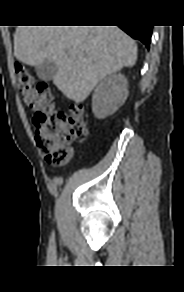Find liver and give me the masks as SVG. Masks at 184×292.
<instances>
[{"label":"liver","instance_id":"liver-1","mask_svg":"<svg viewBox=\"0 0 184 292\" xmlns=\"http://www.w3.org/2000/svg\"><path fill=\"white\" fill-rule=\"evenodd\" d=\"M14 55L30 66L53 61L54 84L80 103L107 75L135 65L137 45L117 26H18Z\"/></svg>","mask_w":184,"mask_h":292}]
</instances>
